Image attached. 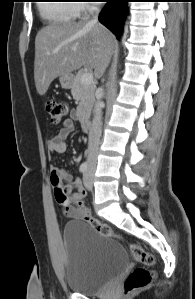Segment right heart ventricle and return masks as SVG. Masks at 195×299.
Instances as JSON below:
<instances>
[{"label": "right heart ventricle", "mask_w": 195, "mask_h": 299, "mask_svg": "<svg viewBox=\"0 0 195 299\" xmlns=\"http://www.w3.org/2000/svg\"><path fill=\"white\" fill-rule=\"evenodd\" d=\"M49 2L43 3L40 6V13L49 24H67L73 21L77 15V5L71 3L72 1L60 0Z\"/></svg>", "instance_id": "right-heart-ventricle-1"}]
</instances>
